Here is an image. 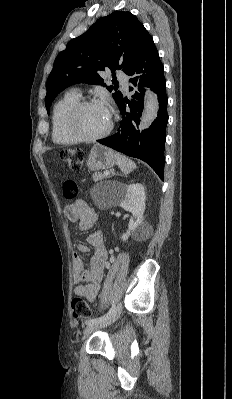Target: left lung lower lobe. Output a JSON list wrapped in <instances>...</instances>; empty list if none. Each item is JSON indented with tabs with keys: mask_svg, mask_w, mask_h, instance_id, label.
Instances as JSON below:
<instances>
[{
	"mask_svg": "<svg viewBox=\"0 0 232 399\" xmlns=\"http://www.w3.org/2000/svg\"><path fill=\"white\" fill-rule=\"evenodd\" d=\"M131 78L129 91H134L129 101L122 98L118 106L121 111L122 120L117 133L97 142L111 147L130 157L141 159L148 163L158 176L164 180V145L166 138V126L168 122L166 94V80L164 77L163 64L160 61L158 51L153 39L139 53L134 66L127 73ZM150 87L158 96V117L152 125L142 131L135 130L142 115L144 105L143 87ZM126 104L129 108L126 111Z\"/></svg>",
	"mask_w": 232,
	"mask_h": 399,
	"instance_id": "1",
	"label": "left lung lower lobe"
}]
</instances>
